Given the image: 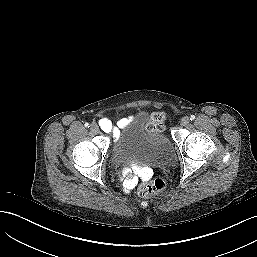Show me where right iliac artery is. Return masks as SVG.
Wrapping results in <instances>:
<instances>
[{
  "mask_svg": "<svg viewBox=\"0 0 257 257\" xmlns=\"http://www.w3.org/2000/svg\"><path fill=\"white\" fill-rule=\"evenodd\" d=\"M85 127L89 128L90 127L89 123H85Z\"/></svg>",
  "mask_w": 257,
  "mask_h": 257,
  "instance_id": "right-iliac-artery-1",
  "label": "right iliac artery"
}]
</instances>
